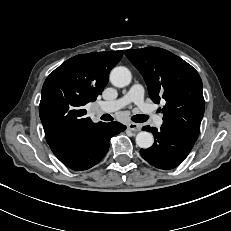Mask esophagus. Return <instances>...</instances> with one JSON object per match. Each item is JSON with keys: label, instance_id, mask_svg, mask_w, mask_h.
Listing matches in <instances>:
<instances>
[{"label": "esophagus", "instance_id": "34e87169", "mask_svg": "<svg viewBox=\"0 0 231 231\" xmlns=\"http://www.w3.org/2000/svg\"><path fill=\"white\" fill-rule=\"evenodd\" d=\"M127 128L134 132H138L141 130V126L137 123H129Z\"/></svg>", "mask_w": 231, "mask_h": 231}]
</instances>
